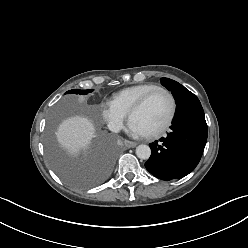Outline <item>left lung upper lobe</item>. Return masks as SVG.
Masks as SVG:
<instances>
[{
  "instance_id": "1",
  "label": "left lung upper lobe",
  "mask_w": 248,
  "mask_h": 248,
  "mask_svg": "<svg viewBox=\"0 0 248 248\" xmlns=\"http://www.w3.org/2000/svg\"><path fill=\"white\" fill-rule=\"evenodd\" d=\"M161 83L164 87L171 91L176 103L182 101L185 95L190 93L188 89L172 79L161 78Z\"/></svg>"
}]
</instances>
